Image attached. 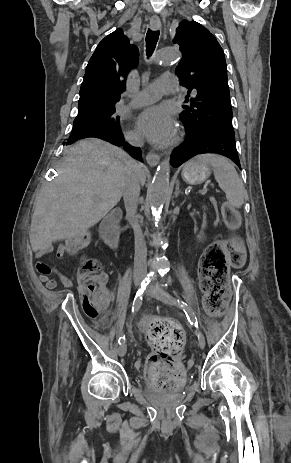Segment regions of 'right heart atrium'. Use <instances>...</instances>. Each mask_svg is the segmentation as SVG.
<instances>
[{"instance_id":"right-heart-atrium-1","label":"right heart atrium","mask_w":291,"mask_h":463,"mask_svg":"<svg viewBox=\"0 0 291 463\" xmlns=\"http://www.w3.org/2000/svg\"><path fill=\"white\" fill-rule=\"evenodd\" d=\"M128 138L131 139L132 141H138L139 140V136L135 131L128 132Z\"/></svg>"}]
</instances>
